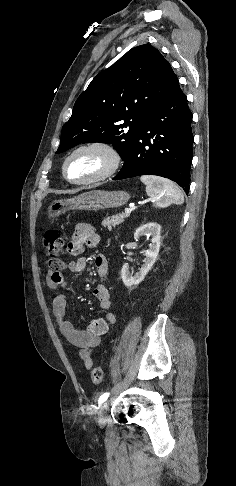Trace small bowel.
<instances>
[{
  "mask_svg": "<svg viewBox=\"0 0 236 486\" xmlns=\"http://www.w3.org/2000/svg\"><path fill=\"white\" fill-rule=\"evenodd\" d=\"M100 242V235L94 227L88 223H79L75 226L74 232L67 246V251L71 256L77 257L68 263L60 259H52L48 262L46 284L51 290L65 288L66 279L63 275L64 270H69L73 274H81L87 266L85 257H78L87 247H96ZM95 267L101 277L108 272V260L103 254H99L94 259ZM93 295L99 302L100 307L107 311L105 317L93 320L85 330L78 329L67 318L68 299L66 294L59 293L52 299V310L54 317L63 336L79 349V357L86 369H91L94 365L92 350L100 344L101 337L105 335L110 326L116 323V315L111 311L112 302L109 290L104 285H98L93 290Z\"/></svg>",
  "mask_w": 236,
  "mask_h": 486,
  "instance_id": "c3829d8e",
  "label": "small bowel"
}]
</instances>
